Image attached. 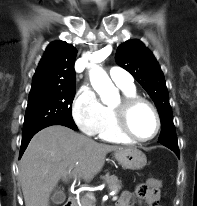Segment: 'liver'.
Returning a JSON list of instances; mask_svg holds the SVG:
<instances>
[{
    "instance_id": "liver-1",
    "label": "liver",
    "mask_w": 197,
    "mask_h": 206,
    "mask_svg": "<svg viewBox=\"0 0 197 206\" xmlns=\"http://www.w3.org/2000/svg\"><path fill=\"white\" fill-rule=\"evenodd\" d=\"M124 148L97 143L71 129L54 125L38 132L19 163L25 206H49V197L63 178L91 181L111 151Z\"/></svg>"
}]
</instances>
